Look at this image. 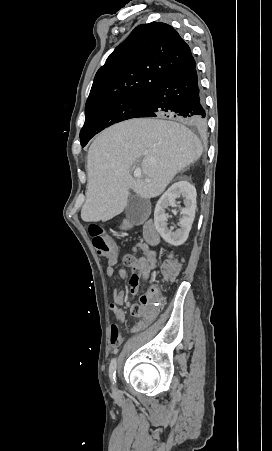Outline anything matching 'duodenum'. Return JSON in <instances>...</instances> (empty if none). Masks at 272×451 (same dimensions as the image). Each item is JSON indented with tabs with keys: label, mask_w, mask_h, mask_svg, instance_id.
Wrapping results in <instances>:
<instances>
[{
	"label": "duodenum",
	"mask_w": 272,
	"mask_h": 451,
	"mask_svg": "<svg viewBox=\"0 0 272 451\" xmlns=\"http://www.w3.org/2000/svg\"><path fill=\"white\" fill-rule=\"evenodd\" d=\"M144 237L145 240L151 245H156L159 242L158 232L154 225L150 222L146 223L144 226Z\"/></svg>",
	"instance_id": "obj_1"
}]
</instances>
